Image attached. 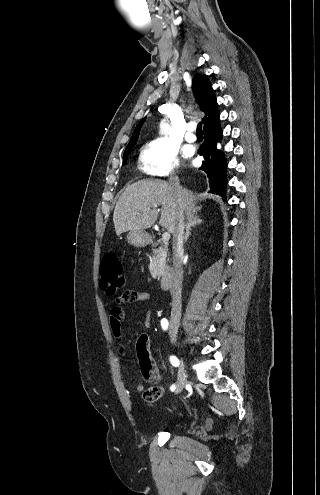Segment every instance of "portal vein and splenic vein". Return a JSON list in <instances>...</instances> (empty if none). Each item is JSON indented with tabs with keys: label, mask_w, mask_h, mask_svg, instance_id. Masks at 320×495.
Returning <instances> with one entry per match:
<instances>
[{
	"label": "portal vein and splenic vein",
	"mask_w": 320,
	"mask_h": 495,
	"mask_svg": "<svg viewBox=\"0 0 320 495\" xmlns=\"http://www.w3.org/2000/svg\"><path fill=\"white\" fill-rule=\"evenodd\" d=\"M169 239H170V233L169 232L163 233L162 240H163L164 244H167Z\"/></svg>",
	"instance_id": "portal-vein-and-splenic-vein-1"
}]
</instances>
